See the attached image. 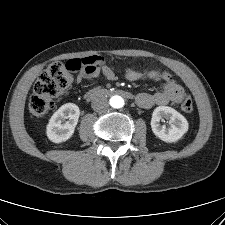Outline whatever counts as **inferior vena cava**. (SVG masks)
Segmentation results:
<instances>
[{
    "instance_id": "inferior-vena-cava-1",
    "label": "inferior vena cava",
    "mask_w": 225,
    "mask_h": 225,
    "mask_svg": "<svg viewBox=\"0 0 225 225\" xmlns=\"http://www.w3.org/2000/svg\"><path fill=\"white\" fill-rule=\"evenodd\" d=\"M92 108L96 112H106L109 109V102L104 96H96L92 101Z\"/></svg>"
}]
</instances>
